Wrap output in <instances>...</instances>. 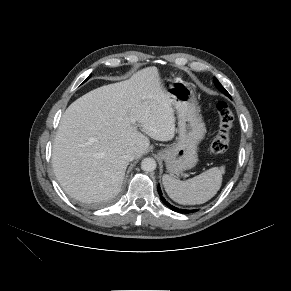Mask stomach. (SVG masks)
<instances>
[{
  "label": "stomach",
  "mask_w": 291,
  "mask_h": 291,
  "mask_svg": "<svg viewBox=\"0 0 291 291\" xmlns=\"http://www.w3.org/2000/svg\"><path fill=\"white\" fill-rule=\"evenodd\" d=\"M172 105L177 111L178 138L176 142L159 152L171 176L179 175L193 168L198 162V145L206 133V127L199 115L194 91L188 83L175 81L169 91Z\"/></svg>",
  "instance_id": "0dacf381"
}]
</instances>
